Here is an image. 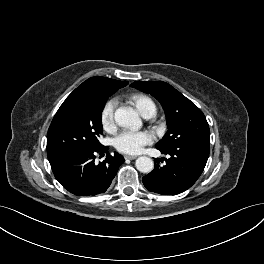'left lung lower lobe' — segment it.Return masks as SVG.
I'll return each instance as SVG.
<instances>
[{
	"label": "left lung lower lobe",
	"mask_w": 264,
	"mask_h": 264,
	"mask_svg": "<svg viewBox=\"0 0 264 264\" xmlns=\"http://www.w3.org/2000/svg\"><path fill=\"white\" fill-rule=\"evenodd\" d=\"M170 155L161 166L154 160L152 172L142 178L144 186L151 192L176 195L190 188L203 172L210 151V144L183 142L175 147L162 150Z\"/></svg>",
	"instance_id": "1"
}]
</instances>
